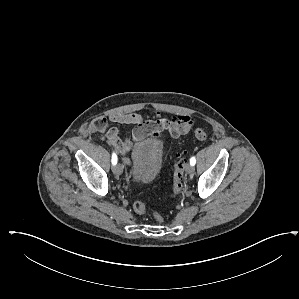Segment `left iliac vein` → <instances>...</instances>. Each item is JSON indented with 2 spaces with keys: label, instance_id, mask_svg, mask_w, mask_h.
<instances>
[{
  "label": "left iliac vein",
  "instance_id": "left-iliac-vein-1",
  "mask_svg": "<svg viewBox=\"0 0 299 299\" xmlns=\"http://www.w3.org/2000/svg\"><path fill=\"white\" fill-rule=\"evenodd\" d=\"M185 171H186V173H188V174H192L193 172H194V167L191 165V164H186V166H185Z\"/></svg>",
  "mask_w": 299,
  "mask_h": 299
}]
</instances>
